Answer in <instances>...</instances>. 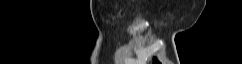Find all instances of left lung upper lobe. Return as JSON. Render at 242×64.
I'll use <instances>...</instances> for the list:
<instances>
[{
    "label": "left lung upper lobe",
    "instance_id": "left-lung-upper-lobe-1",
    "mask_svg": "<svg viewBox=\"0 0 242 64\" xmlns=\"http://www.w3.org/2000/svg\"><path fill=\"white\" fill-rule=\"evenodd\" d=\"M154 64H159V62L156 59H154Z\"/></svg>",
    "mask_w": 242,
    "mask_h": 64
}]
</instances>
